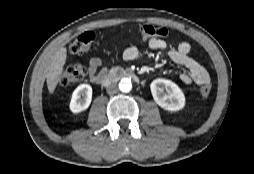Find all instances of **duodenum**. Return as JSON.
Here are the masks:
<instances>
[{"label": "duodenum", "instance_id": "410a0bca", "mask_svg": "<svg viewBox=\"0 0 254 174\" xmlns=\"http://www.w3.org/2000/svg\"><path fill=\"white\" fill-rule=\"evenodd\" d=\"M123 78L131 79L135 82H138V78L132 71L124 70L120 68H114L108 74H104L100 78L99 82L102 86H107L112 81L123 79Z\"/></svg>", "mask_w": 254, "mask_h": 174}]
</instances>
